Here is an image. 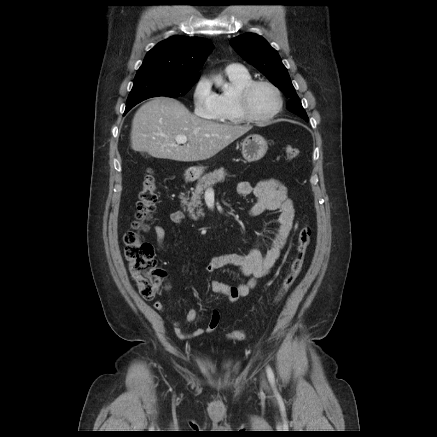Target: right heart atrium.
<instances>
[{
    "label": "right heart atrium",
    "mask_w": 437,
    "mask_h": 437,
    "mask_svg": "<svg viewBox=\"0 0 437 437\" xmlns=\"http://www.w3.org/2000/svg\"><path fill=\"white\" fill-rule=\"evenodd\" d=\"M192 102L196 115L207 119H213L217 115V96L207 80L200 79L197 82L192 93Z\"/></svg>",
    "instance_id": "obj_1"
}]
</instances>
